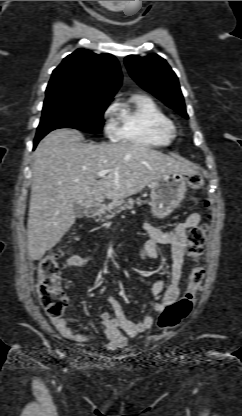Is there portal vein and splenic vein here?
Segmentation results:
<instances>
[{"label": "portal vein and splenic vein", "mask_w": 242, "mask_h": 416, "mask_svg": "<svg viewBox=\"0 0 242 416\" xmlns=\"http://www.w3.org/2000/svg\"><path fill=\"white\" fill-rule=\"evenodd\" d=\"M109 172V170H102L98 173V177H105Z\"/></svg>", "instance_id": "obj_1"}]
</instances>
